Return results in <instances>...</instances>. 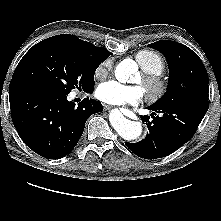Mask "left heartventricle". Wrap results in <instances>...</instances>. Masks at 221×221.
<instances>
[{
  "label": "left heart ventricle",
  "mask_w": 221,
  "mask_h": 221,
  "mask_svg": "<svg viewBox=\"0 0 221 221\" xmlns=\"http://www.w3.org/2000/svg\"><path fill=\"white\" fill-rule=\"evenodd\" d=\"M140 81H141V75L137 76L136 79H135L136 83H140Z\"/></svg>",
  "instance_id": "left-heart-ventricle-1"
}]
</instances>
